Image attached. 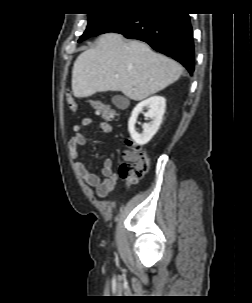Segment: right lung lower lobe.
Instances as JSON below:
<instances>
[{
  "label": "right lung lower lobe",
  "mask_w": 252,
  "mask_h": 303,
  "mask_svg": "<svg viewBox=\"0 0 252 303\" xmlns=\"http://www.w3.org/2000/svg\"><path fill=\"white\" fill-rule=\"evenodd\" d=\"M108 32L144 41L156 51L180 62L191 75L194 71L193 31L186 13L155 7L130 9L101 34Z\"/></svg>",
  "instance_id": "1"
}]
</instances>
